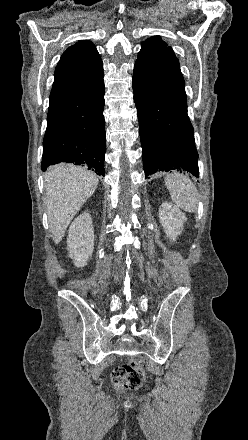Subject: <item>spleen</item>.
Instances as JSON below:
<instances>
[{"label": "spleen", "instance_id": "3e777b00", "mask_svg": "<svg viewBox=\"0 0 248 440\" xmlns=\"http://www.w3.org/2000/svg\"><path fill=\"white\" fill-rule=\"evenodd\" d=\"M172 201L181 209L194 213L198 208V191L186 176L174 172L164 179Z\"/></svg>", "mask_w": 248, "mask_h": 440}]
</instances>
